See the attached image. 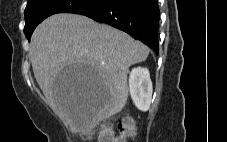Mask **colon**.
Listing matches in <instances>:
<instances>
[{
  "instance_id": "colon-1",
  "label": "colon",
  "mask_w": 227,
  "mask_h": 142,
  "mask_svg": "<svg viewBox=\"0 0 227 142\" xmlns=\"http://www.w3.org/2000/svg\"><path fill=\"white\" fill-rule=\"evenodd\" d=\"M136 128L134 120L124 118L118 124L116 129H106L100 135L98 142H126L135 134Z\"/></svg>"
}]
</instances>
